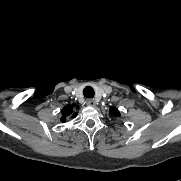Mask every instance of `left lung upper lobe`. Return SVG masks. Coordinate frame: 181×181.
<instances>
[{
    "label": "left lung upper lobe",
    "mask_w": 181,
    "mask_h": 181,
    "mask_svg": "<svg viewBox=\"0 0 181 181\" xmlns=\"http://www.w3.org/2000/svg\"><path fill=\"white\" fill-rule=\"evenodd\" d=\"M110 114L115 116V117H120V112L118 111V109L116 107H111L110 108Z\"/></svg>",
    "instance_id": "1"
}]
</instances>
